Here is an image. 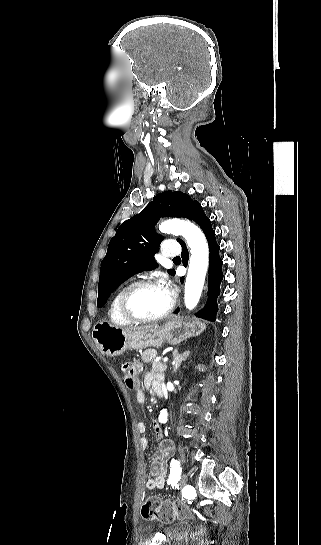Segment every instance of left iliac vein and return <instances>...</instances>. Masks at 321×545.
Returning a JSON list of instances; mask_svg holds the SVG:
<instances>
[{"instance_id":"1","label":"left iliac vein","mask_w":321,"mask_h":545,"mask_svg":"<svg viewBox=\"0 0 321 545\" xmlns=\"http://www.w3.org/2000/svg\"><path fill=\"white\" fill-rule=\"evenodd\" d=\"M188 482V475L187 474H183L179 480V487L180 488H183L186 486Z\"/></svg>"}]
</instances>
